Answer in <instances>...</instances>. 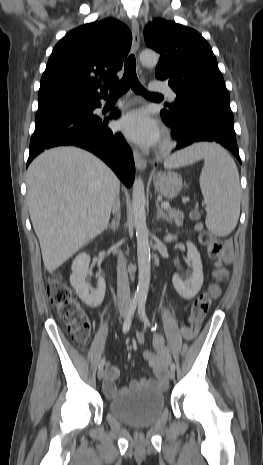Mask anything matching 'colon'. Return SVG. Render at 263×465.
Returning a JSON list of instances; mask_svg holds the SVG:
<instances>
[{
    "instance_id": "obj_1",
    "label": "colon",
    "mask_w": 263,
    "mask_h": 465,
    "mask_svg": "<svg viewBox=\"0 0 263 465\" xmlns=\"http://www.w3.org/2000/svg\"><path fill=\"white\" fill-rule=\"evenodd\" d=\"M193 217L196 219L197 215L194 214ZM198 229L200 231V242L206 247L209 256L214 259H219L223 252L221 241L213 237L210 233L201 230L200 226ZM217 264L221 266L220 261H218ZM48 296L58 315L64 321L72 339L80 343H85L90 333L88 316L76 300L72 290L58 273L53 274L49 278ZM211 302L212 299L208 293H202L195 299L189 314L190 330L196 331L199 322L206 316Z\"/></svg>"
}]
</instances>
